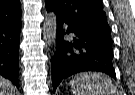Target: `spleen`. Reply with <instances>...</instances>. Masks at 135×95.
Masks as SVG:
<instances>
[{
    "label": "spleen",
    "mask_w": 135,
    "mask_h": 95,
    "mask_svg": "<svg viewBox=\"0 0 135 95\" xmlns=\"http://www.w3.org/2000/svg\"><path fill=\"white\" fill-rule=\"evenodd\" d=\"M73 95H116L111 78L102 73L84 72L70 82Z\"/></svg>",
    "instance_id": "3e777b00"
}]
</instances>
